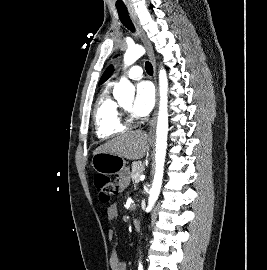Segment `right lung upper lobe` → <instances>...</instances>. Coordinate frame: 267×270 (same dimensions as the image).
I'll return each instance as SVG.
<instances>
[{
  "label": "right lung upper lobe",
  "mask_w": 267,
  "mask_h": 270,
  "mask_svg": "<svg viewBox=\"0 0 267 270\" xmlns=\"http://www.w3.org/2000/svg\"><path fill=\"white\" fill-rule=\"evenodd\" d=\"M113 72H114V68H113V66L111 65V66H109V67L106 69V71H105L104 74L102 75L99 84L104 83V82L108 79V77H109Z\"/></svg>",
  "instance_id": "cb5924a9"
}]
</instances>
